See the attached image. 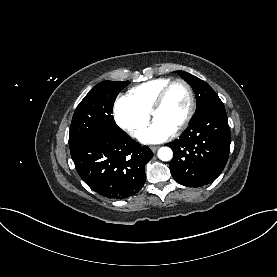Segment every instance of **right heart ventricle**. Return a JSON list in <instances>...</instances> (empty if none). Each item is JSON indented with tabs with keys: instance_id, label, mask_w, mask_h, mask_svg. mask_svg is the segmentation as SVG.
Instances as JSON below:
<instances>
[{
	"instance_id": "1",
	"label": "right heart ventricle",
	"mask_w": 277,
	"mask_h": 277,
	"mask_svg": "<svg viewBox=\"0 0 277 277\" xmlns=\"http://www.w3.org/2000/svg\"><path fill=\"white\" fill-rule=\"evenodd\" d=\"M171 80L169 78H157L141 83L132 87L128 91V98L143 113L149 114V111L158 96L159 92Z\"/></svg>"
}]
</instances>
